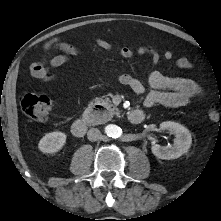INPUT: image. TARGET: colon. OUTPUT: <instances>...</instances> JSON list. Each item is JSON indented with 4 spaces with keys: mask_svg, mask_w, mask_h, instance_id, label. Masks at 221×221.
Masks as SVG:
<instances>
[{
    "mask_svg": "<svg viewBox=\"0 0 221 221\" xmlns=\"http://www.w3.org/2000/svg\"><path fill=\"white\" fill-rule=\"evenodd\" d=\"M21 108L23 112L33 121L46 122L51 114L52 103L45 95L24 93L21 96ZM208 120L211 123L221 124V114L215 104H211L208 110Z\"/></svg>",
    "mask_w": 221,
    "mask_h": 221,
    "instance_id": "5ec220e1",
    "label": "colon"
}]
</instances>
